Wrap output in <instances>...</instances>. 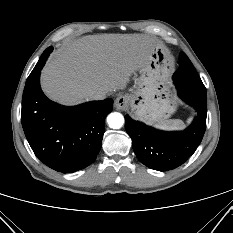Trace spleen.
<instances>
[{
	"instance_id": "3e777b00",
	"label": "spleen",
	"mask_w": 233,
	"mask_h": 233,
	"mask_svg": "<svg viewBox=\"0 0 233 233\" xmlns=\"http://www.w3.org/2000/svg\"><path fill=\"white\" fill-rule=\"evenodd\" d=\"M190 121V119H188ZM158 126L162 129H181L184 127V122L179 119H170L161 121Z\"/></svg>"
}]
</instances>
